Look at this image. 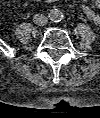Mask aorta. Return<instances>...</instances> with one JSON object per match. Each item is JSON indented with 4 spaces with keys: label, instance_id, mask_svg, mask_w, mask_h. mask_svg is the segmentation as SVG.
I'll return each mask as SVG.
<instances>
[{
    "label": "aorta",
    "instance_id": "obj_1",
    "mask_svg": "<svg viewBox=\"0 0 100 118\" xmlns=\"http://www.w3.org/2000/svg\"><path fill=\"white\" fill-rule=\"evenodd\" d=\"M63 17V13L58 9H52L49 12V18L54 22H60L63 19Z\"/></svg>",
    "mask_w": 100,
    "mask_h": 118
}]
</instances>
